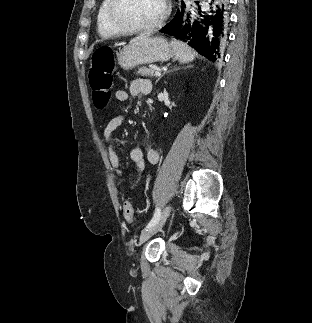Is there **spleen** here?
Wrapping results in <instances>:
<instances>
[{
    "instance_id": "3e777b00",
    "label": "spleen",
    "mask_w": 312,
    "mask_h": 323,
    "mask_svg": "<svg viewBox=\"0 0 312 323\" xmlns=\"http://www.w3.org/2000/svg\"><path fill=\"white\" fill-rule=\"evenodd\" d=\"M171 48L174 52L176 60H179L180 64H187V62H192L195 56H197L196 52H193L192 48H189V46H187V44H184V42L175 40V38H172L171 40Z\"/></svg>"
}]
</instances>
